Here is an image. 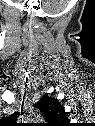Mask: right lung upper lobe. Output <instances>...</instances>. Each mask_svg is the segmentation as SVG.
<instances>
[{
    "instance_id": "cb5924a9",
    "label": "right lung upper lobe",
    "mask_w": 95,
    "mask_h": 126,
    "mask_svg": "<svg viewBox=\"0 0 95 126\" xmlns=\"http://www.w3.org/2000/svg\"><path fill=\"white\" fill-rule=\"evenodd\" d=\"M46 119L48 126H66L68 124L67 114L61 103L54 97L44 95L35 104ZM20 113L11 115V119L15 118ZM22 114V113H21Z\"/></svg>"
}]
</instances>
